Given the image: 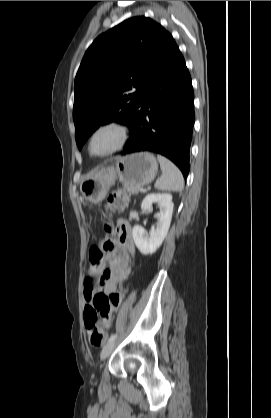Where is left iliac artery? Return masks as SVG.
<instances>
[{"label": "left iliac artery", "instance_id": "1", "mask_svg": "<svg viewBox=\"0 0 271 418\" xmlns=\"http://www.w3.org/2000/svg\"><path fill=\"white\" fill-rule=\"evenodd\" d=\"M117 338V333L116 334H112L109 339L108 342H112L113 340H115Z\"/></svg>", "mask_w": 271, "mask_h": 418}]
</instances>
